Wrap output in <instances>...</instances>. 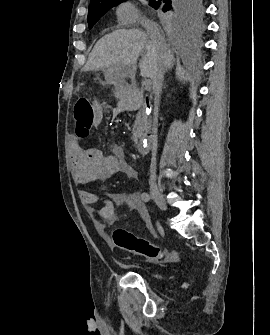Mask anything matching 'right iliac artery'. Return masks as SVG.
<instances>
[{
    "label": "right iliac artery",
    "instance_id": "1",
    "mask_svg": "<svg viewBox=\"0 0 270 335\" xmlns=\"http://www.w3.org/2000/svg\"><path fill=\"white\" fill-rule=\"evenodd\" d=\"M141 199L144 202H148L150 200V195L148 193H146V192H143L141 194ZM157 228H158L159 232L161 233V235H163V229H162V227H161V225H160L159 222H157Z\"/></svg>",
    "mask_w": 270,
    "mask_h": 335
}]
</instances>
